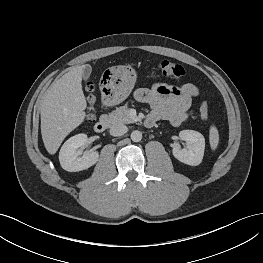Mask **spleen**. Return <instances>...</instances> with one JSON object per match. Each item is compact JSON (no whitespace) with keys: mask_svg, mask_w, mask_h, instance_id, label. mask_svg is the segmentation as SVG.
<instances>
[{"mask_svg":"<svg viewBox=\"0 0 263 263\" xmlns=\"http://www.w3.org/2000/svg\"><path fill=\"white\" fill-rule=\"evenodd\" d=\"M209 142L211 149L215 150L219 143V133L214 125H212L209 130Z\"/></svg>","mask_w":263,"mask_h":263,"instance_id":"spleen-1","label":"spleen"}]
</instances>
